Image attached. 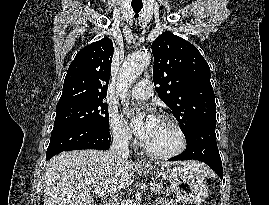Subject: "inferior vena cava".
<instances>
[{"label":"inferior vena cava","instance_id":"obj_1","mask_svg":"<svg viewBox=\"0 0 269 205\" xmlns=\"http://www.w3.org/2000/svg\"><path fill=\"white\" fill-rule=\"evenodd\" d=\"M130 136L120 130L113 133V143L109 150V156L117 163L127 160L129 156V143ZM106 205H120L118 195L114 196Z\"/></svg>","mask_w":269,"mask_h":205}]
</instances>
